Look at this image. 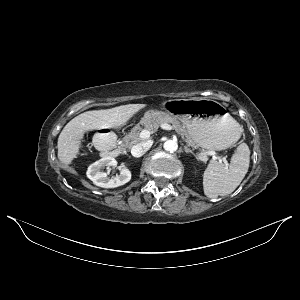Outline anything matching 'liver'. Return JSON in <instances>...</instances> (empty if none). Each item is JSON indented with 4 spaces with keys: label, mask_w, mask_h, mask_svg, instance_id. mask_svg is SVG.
I'll return each mask as SVG.
<instances>
[{
    "label": "liver",
    "mask_w": 300,
    "mask_h": 300,
    "mask_svg": "<svg viewBox=\"0 0 300 300\" xmlns=\"http://www.w3.org/2000/svg\"><path fill=\"white\" fill-rule=\"evenodd\" d=\"M144 107V104L122 105L106 110L87 111L73 118L58 137V159L62 167L67 168L77 157L86 132L121 128Z\"/></svg>",
    "instance_id": "1"
}]
</instances>
